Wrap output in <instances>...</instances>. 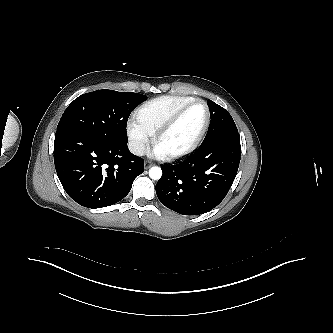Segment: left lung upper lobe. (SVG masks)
<instances>
[{"label":"left lung upper lobe","mask_w":333,"mask_h":333,"mask_svg":"<svg viewBox=\"0 0 333 333\" xmlns=\"http://www.w3.org/2000/svg\"><path fill=\"white\" fill-rule=\"evenodd\" d=\"M207 104L210 110L211 122L203 142L221 136L239 137L238 130L231 115L224 108L211 100H208Z\"/></svg>","instance_id":"1"}]
</instances>
